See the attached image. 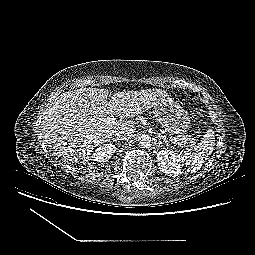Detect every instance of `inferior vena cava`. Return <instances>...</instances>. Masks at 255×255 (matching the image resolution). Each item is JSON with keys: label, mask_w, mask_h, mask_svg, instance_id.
<instances>
[{"label": "inferior vena cava", "mask_w": 255, "mask_h": 255, "mask_svg": "<svg viewBox=\"0 0 255 255\" xmlns=\"http://www.w3.org/2000/svg\"><path fill=\"white\" fill-rule=\"evenodd\" d=\"M134 134L133 128H124L115 132V137L117 140H127L130 139Z\"/></svg>", "instance_id": "1"}]
</instances>
